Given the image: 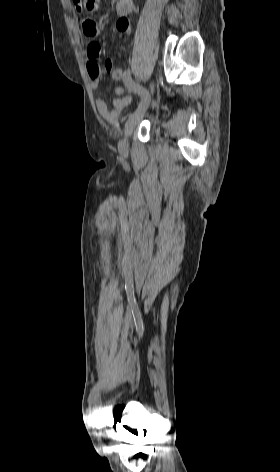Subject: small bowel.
I'll use <instances>...</instances> for the list:
<instances>
[{
  "label": "small bowel",
  "instance_id": "obj_1",
  "mask_svg": "<svg viewBox=\"0 0 280 472\" xmlns=\"http://www.w3.org/2000/svg\"><path fill=\"white\" fill-rule=\"evenodd\" d=\"M76 8L79 11H83V7L80 4L74 2ZM116 13L118 19L116 22V29L121 33L130 34L132 28L128 20V15L132 12L133 1L132 0H117L116 2ZM83 34L90 38L92 41L88 44L86 49L87 57V72L90 78L91 87L96 89L99 85L101 67L98 62L101 47L98 42L94 41L99 33L97 23L90 17H85L82 21ZM117 95H123L125 88L118 86L115 89ZM131 97L116 98L112 101V107L109 108L103 99L96 100V107L99 114L108 122H115L122 110L131 103Z\"/></svg>",
  "mask_w": 280,
  "mask_h": 472
}]
</instances>
